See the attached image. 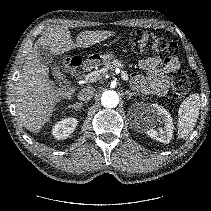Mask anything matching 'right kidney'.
<instances>
[{
  "mask_svg": "<svg viewBox=\"0 0 211 211\" xmlns=\"http://www.w3.org/2000/svg\"><path fill=\"white\" fill-rule=\"evenodd\" d=\"M78 121L76 118H65L55 123L52 128V135L57 140L67 138L76 128Z\"/></svg>",
  "mask_w": 211,
  "mask_h": 211,
  "instance_id": "right-kidney-1",
  "label": "right kidney"
}]
</instances>
